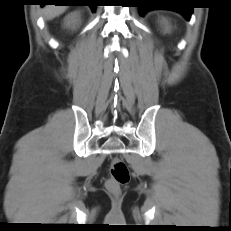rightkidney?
<instances>
[{
	"label": "right kidney",
	"mask_w": 231,
	"mask_h": 231,
	"mask_svg": "<svg viewBox=\"0 0 231 231\" xmlns=\"http://www.w3.org/2000/svg\"><path fill=\"white\" fill-rule=\"evenodd\" d=\"M80 22V13L72 12L64 19V26L70 29H75Z\"/></svg>",
	"instance_id": "obj_1"
}]
</instances>
